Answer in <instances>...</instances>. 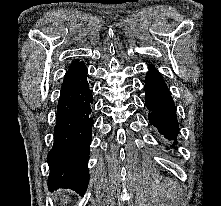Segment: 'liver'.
<instances>
[{
    "label": "liver",
    "instance_id": "6515ba94",
    "mask_svg": "<svg viewBox=\"0 0 221 206\" xmlns=\"http://www.w3.org/2000/svg\"><path fill=\"white\" fill-rule=\"evenodd\" d=\"M67 201H68V198H66V199L64 200V203H67Z\"/></svg>",
    "mask_w": 221,
    "mask_h": 206
}]
</instances>
